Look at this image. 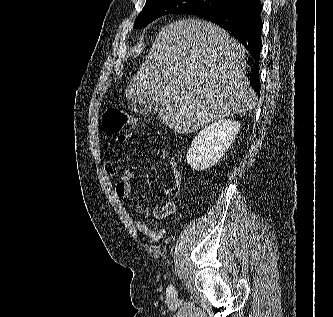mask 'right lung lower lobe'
<instances>
[{"mask_svg": "<svg viewBox=\"0 0 333 317\" xmlns=\"http://www.w3.org/2000/svg\"><path fill=\"white\" fill-rule=\"evenodd\" d=\"M260 0H234L195 15L215 23L239 40L250 53L251 85L260 96L259 59L262 49Z\"/></svg>", "mask_w": 333, "mask_h": 317, "instance_id": "right-lung-lower-lobe-1", "label": "right lung lower lobe"}]
</instances>
